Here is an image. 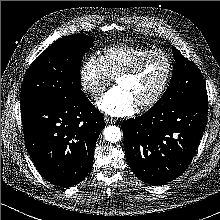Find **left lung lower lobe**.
Segmentation results:
<instances>
[{"label": "left lung lower lobe", "mask_w": 220, "mask_h": 220, "mask_svg": "<svg viewBox=\"0 0 220 220\" xmlns=\"http://www.w3.org/2000/svg\"><path fill=\"white\" fill-rule=\"evenodd\" d=\"M208 97L201 96L149 109L122 124L129 167L142 181L160 185L189 166L203 135Z\"/></svg>", "instance_id": "1"}]
</instances>
